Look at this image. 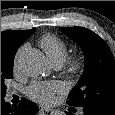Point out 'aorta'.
<instances>
[{"label":"aorta","instance_id":"762f6f07","mask_svg":"<svg viewBox=\"0 0 115 115\" xmlns=\"http://www.w3.org/2000/svg\"><path fill=\"white\" fill-rule=\"evenodd\" d=\"M18 65L23 73L29 76L42 75L46 71L45 55L36 49L23 51L18 56ZM50 115H66L61 110H53Z\"/></svg>","mask_w":115,"mask_h":115}]
</instances>
